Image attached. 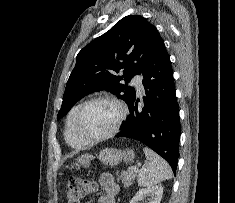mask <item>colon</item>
I'll use <instances>...</instances> for the list:
<instances>
[{"label": "colon", "mask_w": 235, "mask_h": 203, "mask_svg": "<svg viewBox=\"0 0 235 203\" xmlns=\"http://www.w3.org/2000/svg\"><path fill=\"white\" fill-rule=\"evenodd\" d=\"M96 185L94 182L80 178L72 177L67 185V198L69 203H81V201L90 193L94 192Z\"/></svg>", "instance_id": "obj_1"}]
</instances>
